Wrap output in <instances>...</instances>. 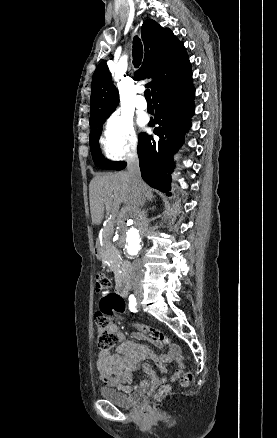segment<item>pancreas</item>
<instances>
[{
	"mask_svg": "<svg viewBox=\"0 0 277 438\" xmlns=\"http://www.w3.org/2000/svg\"><path fill=\"white\" fill-rule=\"evenodd\" d=\"M114 233L112 231H103L102 235H99L97 240V247L99 253H102V265L103 267H117L116 264L119 261L116 251H113Z\"/></svg>",
	"mask_w": 277,
	"mask_h": 438,
	"instance_id": "1",
	"label": "pancreas"
}]
</instances>
